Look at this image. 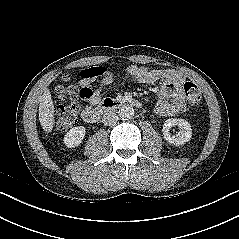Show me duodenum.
<instances>
[{
	"instance_id": "410a0bca",
	"label": "duodenum",
	"mask_w": 239,
	"mask_h": 239,
	"mask_svg": "<svg viewBox=\"0 0 239 239\" xmlns=\"http://www.w3.org/2000/svg\"><path fill=\"white\" fill-rule=\"evenodd\" d=\"M126 105L141 107L142 103L133 98H106L95 107L85 108L82 111V118L88 123H96L108 112Z\"/></svg>"
}]
</instances>
